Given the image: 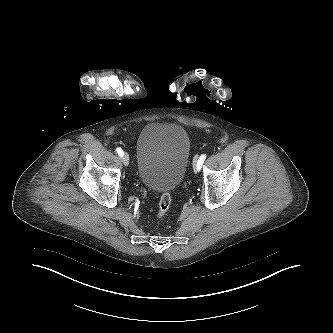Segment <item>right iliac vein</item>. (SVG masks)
<instances>
[{
  "label": "right iliac vein",
  "instance_id": "obj_1",
  "mask_svg": "<svg viewBox=\"0 0 333 333\" xmlns=\"http://www.w3.org/2000/svg\"><path fill=\"white\" fill-rule=\"evenodd\" d=\"M122 160H123V163H124L126 166L129 165V161H130V159H129V155H128L127 153H125V154L123 155Z\"/></svg>",
  "mask_w": 333,
  "mask_h": 333
}]
</instances>
